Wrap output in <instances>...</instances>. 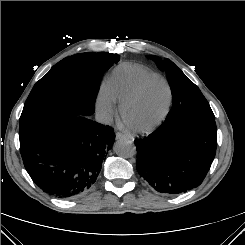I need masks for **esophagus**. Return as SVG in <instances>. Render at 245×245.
<instances>
[{
  "label": "esophagus",
  "instance_id": "1",
  "mask_svg": "<svg viewBox=\"0 0 245 245\" xmlns=\"http://www.w3.org/2000/svg\"><path fill=\"white\" fill-rule=\"evenodd\" d=\"M116 139H122V138H129L130 136L125 134V133H122V132H116Z\"/></svg>",
  "mask_w": 245,
  "mask_h": 245
}]
</instances>
